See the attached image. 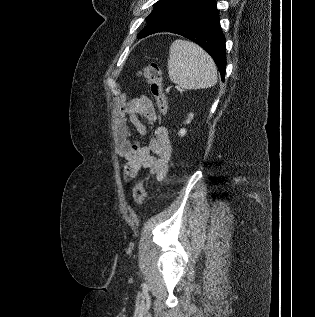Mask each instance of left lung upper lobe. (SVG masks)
Segmentation results:
<instances>
[{
    "label": "left lung upper lobe",
    "instance_id": "5c2ea615",
    "mask_svg": "<svg viewBox=\"0 0 315 317\" xmlns=\"http://www.w3.org/2000/svg\"><path fill=\"white\" fill-rule=\"evenodd\" d=\"M198 1L159 0L154 4L153 12L147 17L148 25L139 34L140 37L143 38L156 32L166 31Z\"/></svg>",
    "mask_w": 315,
    "mask_h": 317
}]
</instances>
